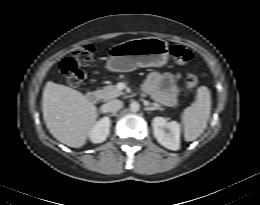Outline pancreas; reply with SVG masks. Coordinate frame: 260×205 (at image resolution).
Wrapping results in <instances>:
<instances>
[{
    "instance_id": "1",
    "label": "pancreas",
    "mask_w": 260,
    "mask_h": 205,
    "mask_svg": "<svg viewBox=\"0 0 260 205\" xmlns=\"http://www.w3.org/2000/svg\"><path fill=\"white\" fill-rule=\"evenodd\" d=\"M98 96L103 101H109L124 94L115 85H108L97 91Z\"/></svg>"
}]
</instances>
